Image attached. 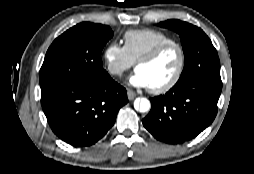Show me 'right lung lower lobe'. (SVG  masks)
Returning a JSON list of instances; mask_svg holds the SVG:
<instances>
[{"label": "right lung lower lobe", "mask_w": 254, "mask_h": 174, "mask_svg": "<svg viewBox=\"0 0 254 174\" xmlns=\"http://www.w3.org/2000/svg\"><path fill=\"white\" fill-rule=\"evenodd\" d=\"M128 102L126 89L107 73L102 78L50 87L41 104L55 135L74 146H90L113 126Z\"/></svg>", "instance_id": "right-lung-lower-lobe-1"}]
</instances>
